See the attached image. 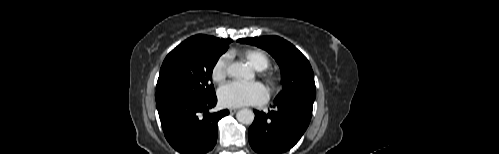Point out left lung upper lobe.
I'll use <instances>...</instances> for the list:
<instances>
[{
    "label": "left lung upper lobe",
    "instance_id": "1",
    "mask_svg": "<svg viewBox=\"0 0 499 154\" xmlns=\"http://www.w3.org/2000/svg\"><path fill=\"white\" fill-rule=\"evenodd\" d=\"M237 41L262 48L275 58L281 69L283 84L276 102H285L297 96L315 98L316 87L311 65L290 42L278 36L242 38Z\"/></svg>",
    "mask_w": 499,
    "mask_h": 154
}]
</instances>
